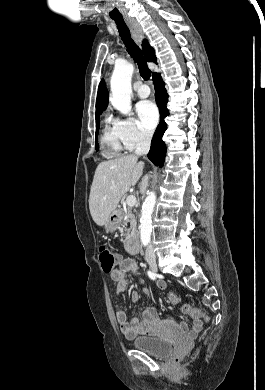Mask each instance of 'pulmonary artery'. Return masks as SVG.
<instances>
[{
  "label": "pulmonary artery",
  "instance_id": "pulmonary-artery-1",
  "mask_svg": "<svg viewBox=\"0 0 265 390\" xmlns=\"http://www.w3.org/2000/svg\"><path fill=\"white\" fill-rule=\"evenodd\" d=\"M136 94L139 98H146L150 94V89L147 85L141 84L136 88Z\"/></svg>",
  "mask_w": 265,
  "mask_h": 390
}]
</instances>
